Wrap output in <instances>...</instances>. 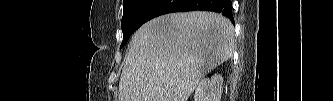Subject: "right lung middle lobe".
Instances as JSON below:
<instances>
[{
	"instance_id": "obj_1",
	"label": "right lung middle lobe",
	"mask_w": 333,
	"mask_h": 101,
	"mask_svg": "<svg viewBox=\"0 0 333 101\" xmlns=\"http://www.w3.org/2000/svg\"><path fill=\"white\" fill-rule=\"evenodd\" d=\"M148 1L149 0H123V17L121 22L123 41L121 47L128 42L130 36L137 30L135 21Z\"/></svg>"
}]
</instances>
